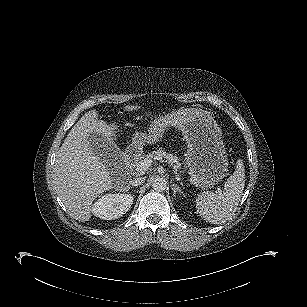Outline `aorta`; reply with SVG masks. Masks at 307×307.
Returning a JSON list of instances; mask_svg holds the SVG:
<instances>
[{
    "mask_svg": "<svg viewBox=\"0 0 307 307\" xmlns=\"http://www.w3.org/2000/svg\"><path fill=\"white\" fill-rule=\"evenodd\" d=\"M152 188L155 190V191H158V192H161V191H164L167 187V181L161 177H155L153 180H152Z\"/></svg>",
    "mask_w": 307,
    "mask_h": 307,
    "instance_id": "762f6f07",
    "label": "aorta"
}]
</instances>
